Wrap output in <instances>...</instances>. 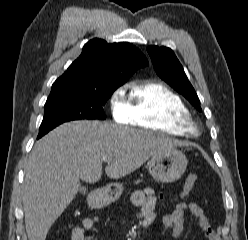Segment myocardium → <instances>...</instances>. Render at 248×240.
<instances>
[{"label":"myocardium","mask_w":248,"mask_h":240,"mask_svg":"<svg viewBox=\"0 0 248 240\" xmlns=\"http://www.w3.org/2000/svg\"><path fill=\"white\" fill-rule=\"evenodd\" d=\"M179 123L185 125L188 129L191 135L197 133V124L191 119L189 120H179Z\"/></svg>","instance_id":"1"}]
</instances>
